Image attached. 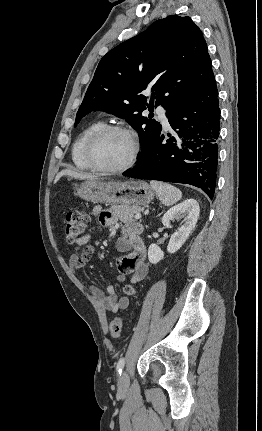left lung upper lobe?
I'll use <instances>...</instances> for the list:
<instances>
[{
    "label": "left lung upper lobe",
    "mask_w": 262,
    "mask_h": 431,
    "mask_svg": "<svg viewBox=\"0 0 262 431\" xmlns=\"http://www.w3.org/2000/svg\"><path fill=\"white\" fill-rule=\"evenodd\" d=\"M214 79L202 32L190 17L168 16L103 56L77 112L75 125L93 110L126 121L138 131L142 151L161 124L142 116L162 104L167 117ZM151 90V100L143 95ZM150 118V117H149Z\"/></svg>",
    "instance_id": "left-lung-upper-lobe-1"
}]
</instances>
